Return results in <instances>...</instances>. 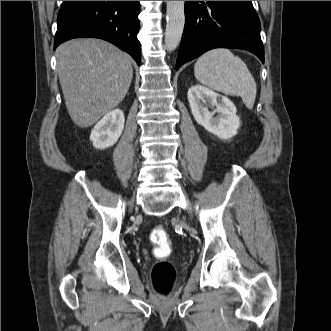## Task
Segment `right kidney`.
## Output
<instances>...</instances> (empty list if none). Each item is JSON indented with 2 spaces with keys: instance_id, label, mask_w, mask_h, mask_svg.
Masks as SVG:
<instances>
[{
  "instance_id": "right-kidney-1",
  "label": "right kidney",
  "mask_w": 331,
  "mask_h": 331,
  "mask_svg": "<svg viewBox=\"0 0 331 331\" xmlns=\"http://www.w3.org/2000/svg\"><path fill=\"white\" fill-rule=\"evenodd\" d=\"M124 114L120 109L108 112L92 129L90 140L97 149L113 146L122 134Z\"/></svg>"
}]
</instances>
